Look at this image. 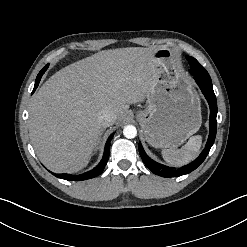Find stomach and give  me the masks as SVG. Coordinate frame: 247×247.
Masks as SVG:
<instances>
[{"mask_svg": "<svg viewBox=\"0 0 247 247\" xmlns=\"http://www.w3.org/2000/svg\"><path fill=\"white\" fill-rule=\"evenodd\" d=\"M154 57L161 64L147 94L148 105L136 119L151 146L175 148L199 130L200 98L193 83L173 64L169 50L158 49Z\"/></svg>", "mask_w": 247, "mask_h": 247, "instance_id": "0dacf381", "label": "stomach"}]
</instances>
